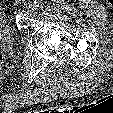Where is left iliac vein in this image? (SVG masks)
<instances>
[{
    "mask_svg": "<svg viewBox=\"0 0 113 113\" xmlns=\"http://www.w3.org/2000/svg\"><path fill=\"white\" fill-rule=\"evenodd\" d=\"M28 9L33 12L36 9V5L33 2H30L28 5Z\"/></svg>",
    "mask_w": 113,
    "mask_h": 113,
    "instance_id": "1",
    "label": "left iliac vein"
}]
</instances>
